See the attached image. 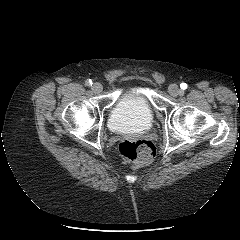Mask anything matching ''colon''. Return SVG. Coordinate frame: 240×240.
Returning a JSON list of instances; mask_svg holds the SVG:
<instances>
[{"label":"colon","instance_id":"obj_1","mask_svg":"<svg viewBox=\"0 0 240 240\" xmlns=\"http://www.w3.org/2000/svg\"><path fill=\"white\" fill-rule=\"evenodd\" d=\"M118 150L133 167L149 164L156 152L154 144L144 139H124L119 143Z\"/></svg>","mask_w":240,"mask_h":240}]
</instances>
